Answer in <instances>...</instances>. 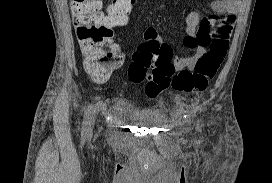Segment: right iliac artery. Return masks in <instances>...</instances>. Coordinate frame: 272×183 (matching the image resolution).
<instances>
[{"instance_id":"82829eb1","label":"right iliac artery","mask_w":272,"mask_h":183,"mask_svg":"<svg viewBox=\"0 0 272 183\" xmlns=\"http://www.w3.org/2000/svg\"><path fill=\"white\" fill-rule=\"evenodd\" d=\"M91 111H92V106L89 105L85 112V117L83 121V131H85L87 129V126L90 124Z\"/></svg>"}]
</instances>
